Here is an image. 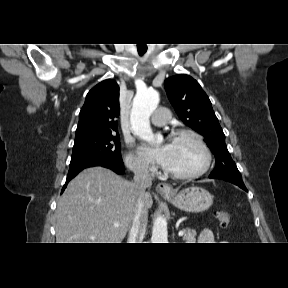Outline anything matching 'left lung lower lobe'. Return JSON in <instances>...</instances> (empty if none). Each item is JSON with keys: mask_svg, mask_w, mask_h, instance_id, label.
<instances>
[{"mask_svg": "<svg viewBox=\"0 0 288 288\" xmlns=\"http://www.w3.org/2000/svg\"><path fill=\"white\" fill-rule=\"evenodd\" d=\"M209 178H211V177L209 176ZM226 181H229V182H231V183L239 186V187L242 188L243 190L247 191V189H246V187H245V185H244L243 182H234V181H230V180H226Z\"/></svg>", "mask_w": 288, "mask_h": 288, "instance_id": "left-lung-lower-lobe-1", "label": "left lung lower lobe"}]
</instances>
